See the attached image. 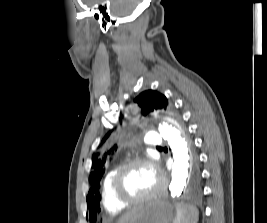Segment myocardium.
I'll list each match as a JSON object with an SVG mask.
<instances>
[{
	"label": "myocardium",
	"instance_id": "myocardium-1",
	"mask_svg": "<svg viewBox=\"0 0 267 223\" xmlns=\"http://www.w3.org/2000/svg\"><path fill=\"white\" fill-rule=\"evenodd\" d=\"M138 165L148 166L158 177V184L150 193L142 197L128 198L124 195L122 191V182L126 174L129 172V170ZM164 187H165L164 174L161 172L157 162L149 156L136 157L124 163L119 168L112 181L113 194L115 198L124 205H137L148 202L156 198L163 191Z\"/></svg>",
	"mask_w": 267,
	"mask_h": 223
}]
</instances>
